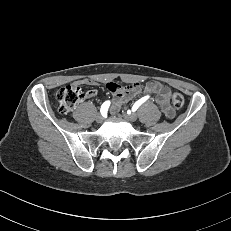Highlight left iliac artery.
Instances as JSON below:
<instances>
[{
	"label": "left iliac artery",
	"mask_w": 231,
	"mask_h": 231,
	"mask_svg": "<svg viewBox=\"0 0 231 231\" xmlns=\"http://www.w3.org/2000/svg\"><path fill=\"white\" fill-rule=\"evenodd\" d=\"M149 98V96H145L143 98H141L140 100H138L137 102H135V104L132 107L133 111H136L140 105H142L145 101H147Z\"/></svg>",
	"instance_id": "1"
}]
</instances>
